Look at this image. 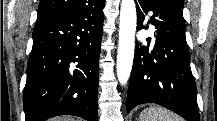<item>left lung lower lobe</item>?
<instances>
[{"label":"left lung lower lobe","mask_w":217,"mask_h":121,"mask_svg":"<svg viewBox=\"0 0 217 121\" xmlns=\"http://www.w3.org/2000/svg\"><path fill=\"white\" fill-rule=\"evenodd\" d=\"M137 30L155 26L153 48L137 44L127 95V113L143 103H156L188 121H199L196 84L190 68L185 23L162 0H135Z\"/></svg>","instance_id":"1"}]
</instances>
